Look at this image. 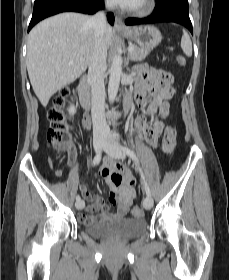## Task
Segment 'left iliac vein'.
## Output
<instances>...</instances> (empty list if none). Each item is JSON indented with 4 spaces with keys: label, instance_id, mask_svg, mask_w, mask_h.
<instances>
[{
    "label": "left iliac vein",
    "instance_id": "obj_1",
    "mask_svg": "<svg viewBox=\"0 0 229 280\" xmlns=\"http://www.w3.org/2000/svg\"><path fill=\"white\" fill-rule=\"evenodd\" d=\"M104 151L111 157L117 159H125V152L123 148L110 140H106L105 145L103 147ZM143 206L146 210H150L153 207V199L150 195H146L143 199Z\"/></svg>",
    "mask_w": 229,
    "mask_h": 280
}]
</instances>
